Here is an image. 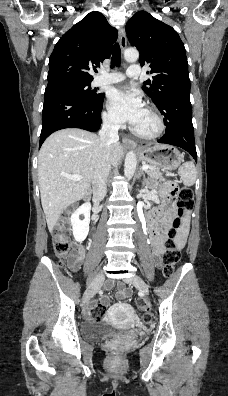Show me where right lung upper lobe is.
I'll return each instance as SVG.
<instances>
[{"label":"right lung upper lobe","mask_w":228,"mask_h":396,"mask_svg":"<svg viewBox=\"0 0 228 396\" xmlns=\"http://www.w3.org/2000/svg\"><path fill=\"white\" fill-rule=\"evenodd\" d=\"M117 30L97 11L89 13L57 42L49 59L48 85L91 82L88 73L109 58Z\"/></svg>","instance_id":"right-lung-upper-lobe-1"}]
</instances>
